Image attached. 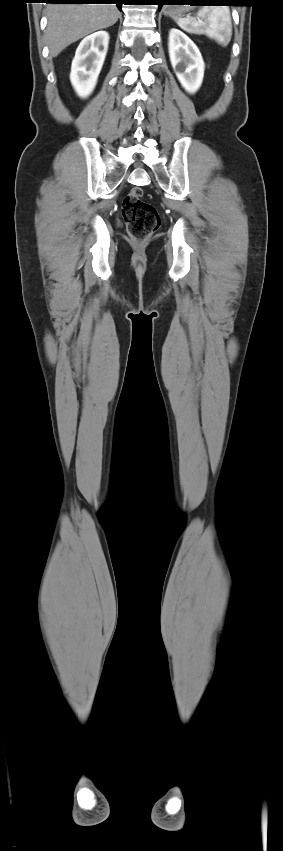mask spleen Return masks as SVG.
<instances>
[{
	"instance_id": "spleen-1",
	"label": "spleen",
	"mask_w": 283,
	"mask_h": 851,
	"mask_svg": "<svg viewBox=\"0 0 283 851\" xmlns=\"http://www.w3.org/2000/svg\"><path fill=\"white\" fill-rule=\"evenodd\" d=\"M197 16L198 20L175 16L173 19L182 30L188 33H204L222 46L229 44L232 37V22L228 7H202L197 12Z\"/></svg>"
}]
</instances>
